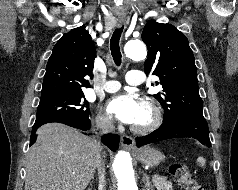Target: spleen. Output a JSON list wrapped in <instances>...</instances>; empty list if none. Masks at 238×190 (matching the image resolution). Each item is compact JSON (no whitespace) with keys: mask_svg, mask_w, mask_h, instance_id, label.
Wrapping results in <instances>:
<instances>
[{"mask_svg":"<svg viewBox=\"0 0 238 190\" xmlns=\"http://www.w3.org/2000/svg\"><path fill=\"white\" fill-rule=\"evenodd\" d=\"M197 162H198L201 166H205L206 160H205L203 157H198Z\"/></svg>","mask_w":238,"mask_h":190,"instance_id":"3e777b00","label":"spleen"}]
</instances>
